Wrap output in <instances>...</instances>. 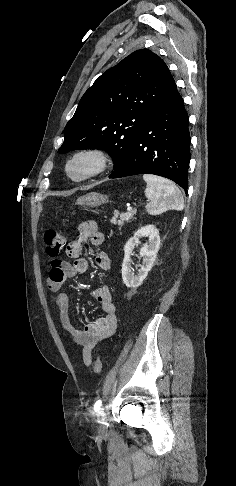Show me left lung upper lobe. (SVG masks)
I'll list each match as a JSON object with an SVG mask.
<instances>
[{
	"label": "left lung upper lobe",
	"mask_w": 236,
	"mask_h": 486,
	"mask_svg": "<svg viewBox=\"0 0 236 486\" xmlns=\"http://www.w3.org/2000/svg\"><path fill=\"white\" fill-rule=\"evenodd\" d=\"M176 89L165 62L148 49L133 52L84 93L64 129L59 153L104 149L114 169L154 113Z\"/></svg>",
	"instance_id": "1"
}]
</instances>
